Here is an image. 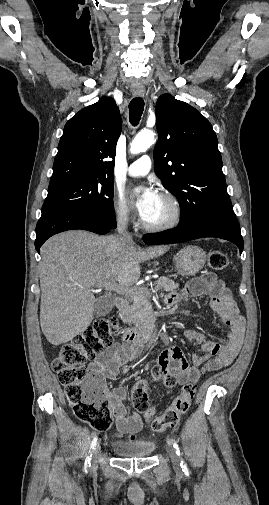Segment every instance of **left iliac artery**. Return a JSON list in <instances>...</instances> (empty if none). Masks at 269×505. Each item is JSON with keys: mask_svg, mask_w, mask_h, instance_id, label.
<instances>
[{"mask_svg": "<svg viewBox=\"0 0 269 505\" xmlns=\"http://www.w3.org/2000/svg\"><path fill=\"white\" fill-rule=\"evenodd\" d=\"M173 447H174V449H175V451H176L177 455H179V456H180V455H181V452H180V449H179L178 444H177V443H173ZM180 465H181V468H182L183 472H184L185 474H188V473H189V470H188V467H187V464L185 463V461H183V460H182Z\"/></svg>", "mask_w": 269, "mask_h": 505, "instance_id": "obj_1", "label": "left iliac artery"}]
</instances>
